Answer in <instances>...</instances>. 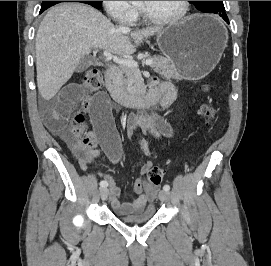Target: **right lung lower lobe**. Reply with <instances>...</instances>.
<instances>
[{
  "label": "right lung lower lobe",
  "mask_w": 271,
  "mask_h": 266,
  "mask_svg": "<svg viewBox=\"0 0 271 266\" xmlns=\"http://www.w3.org/2000/svg\"><path fill=\"white\" fill-rule=\"evenodd\" d=\"M94 7V6H93ZM96 8V7H95ZM98 9V8H97ZM44 10H40V13H42Z\"/></svg>",
  "instance_id": "obj_1"
}]
</instances>
